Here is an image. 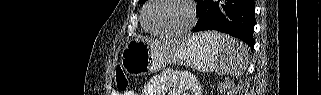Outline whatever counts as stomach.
<instances>
[{"mask_svg":"<svg viewBox=\"0 0 321 95\" xmlns=\"http://www.w3.org/2000/svg\"><path fill=\"white\" fill-rule=\"evenodd\" d=\"M222 51L221 41L208 33L192 35L172 50H158L140 39H133L122 51L121 66L132 76L159 71L171 62L210 72L218 64Z\"/></svg>","mask_w":321,"mask_h":95,"instance_id":"0dacf381","label":"stomach"}]
</instances>
